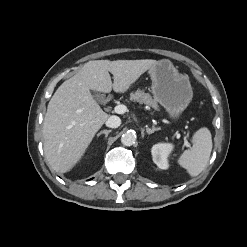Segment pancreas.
<instances>
[{"instance_id":"pancreas-1","label":"pancreas","mask_w":247,"mask_h":247,"mask_svg":"<svg viewBox=\"0 0 247 247\" xmlns=\"http://www.w3.org/2000/svg\"><path fill=\"white\" fill-rule=\"evenodd\" d=\"M130 100L139 102L141 104L149 105L155 110H159V106L150 94L145 93L143 90L138 89L134 93H131Z\"/></svg>"}]
</instances>
